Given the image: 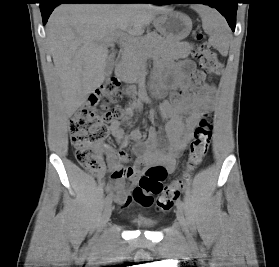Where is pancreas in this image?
Returning a JSON list of instances; mask_svg holds the SVG:
<instances>
[{
  "label": "pancreas",
  "mask_w": 279,
  "mask_h": 267,
  "mask_svg": "<svg viewBox=\"0 0 279 267\" xmlns=\"http://www.w3.org/2000/svg\"><path fill=\"white\" fill-rule=\"evenodd\" d=\"M191 49L192 45L189 43L164 39L157 33H150L125 46L119 74L124 80H134L140 75L147 57L175 60L187 57Z\"/></svg>",
  "instance_id": "obj_1"
}]
</instances>
